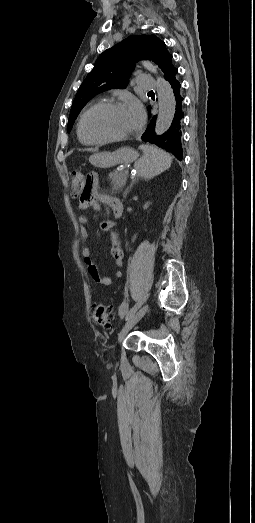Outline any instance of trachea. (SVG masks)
Wrapping results in <instances>:
<instances>
[{
  "label": "trachea",
  "instance_id": "trachea-1",
  "mask_svg": "<svg viewBox=\"0 0 255 523\" xmlns=\"http://www.w3.org/2000/svg\"><path fill=\"white\" fill-rule=\"evenodd\" d=\"M148 93H154V92H153V90H150V92H148Z\"/></svg>",
  "mask_w": 255,
  "mask_h": 523
}]
</instances>
